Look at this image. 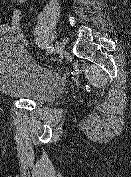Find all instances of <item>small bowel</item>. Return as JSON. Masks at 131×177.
<instances>
[{
  "instance_id": "1",
  "label": "small bowel",
  "mask_w": 131,
  "mask_h": 177,
  "mask_svg": "<svg viewBox=\"0 0 131 177\" xmlns=\"http://www.w3.org/2000/svg\"><path fill=\"white\" fill-rule=\"evenodd\" d=\"M14 2L18 7H20L26 2V0H14ZM3 36H11V30L8 23L0 24V37Z\"/></svg>"
}]
</instances>
